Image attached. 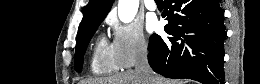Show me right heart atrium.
Listing matches in <instances>:
<instances>
[{
    "label": "right heart atrium",
    "instance_id": "1",
    "mask_svg": "<svg viewBox=\"0 0 260 84\" xmlns=\"http://www.w3.org/2000/svg\"><path fill=\"white\" fill-rule=\"evenodd\" d=\"M108 24L113 32L111 51L118 67L129 68L146 57L149 44L139 24H122L112 19Z\"/></svg>",
    "mask_w": 260,
    "mask_h": 84
}]
</instances>
